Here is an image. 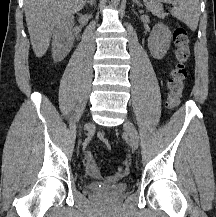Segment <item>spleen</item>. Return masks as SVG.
I'll return each mask as SVG.
<instances>
[{"mask_svg":"<svg viewBox=\"0 0 216 217\" xmlns=\"http://www.w3.org/2000/svg\"><path fill=\"white\" fill-rule=\"evenodd\" d=\"M171 14L195 31L199 22V0H175V6L170 9Z\"/></svg>","mask_w":216,"mask_h":217,"instance_id":"obj_1","label":"spleen"}]
</instances>
